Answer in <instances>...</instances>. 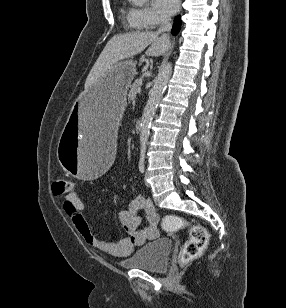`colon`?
Returning a JSON list of instances; mask_svg holds the SVG:
<instances>
[{
    "instance_id": "5ec220e1",
    "label": "colon",
    "mask_w": 286,
    "mask_h": 308,
    "mask_svg": "<svg viewBox=\"0 0 286 308\" xmlns=\"http://www.w3.org/2000/svg\"><path fill=\"white\" fill-rule=\"evenodd\" d=\"M74 190L72 180L67 177H58L52 183V191L55 195H68ZM185 226V221L174 215L166 216L164 228L167 230H178ZM209 241V235L205 229L199 226L191 228L190 238L180 252V263L182 265L196 258L205 248Z\"/></svg>"
}]
</instances>
